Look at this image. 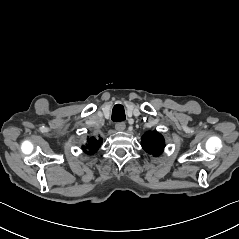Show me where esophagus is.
<instances>
[{"label":"esophagus","mask_w":239,"mask_h":239,"mask_svg":"<svg viewBox=\"0 0 239 239\" xmlns=\"http://www.w3.org/2000/svg\"><path fill=\"white\" fill-rule=\"evenodd\" d=\"M126 125L124 122H117L115 125L116 130L123 131L125 129Z\"/></svg>","instance_id":"1"}]
</instances>
